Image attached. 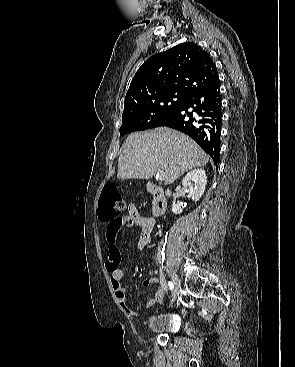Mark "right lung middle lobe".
I'll return each mask as SVG.
<instances>
[{
    "label": "right lung middle lobe",
    "mask_w": 295,
    "mask_h": 367,
    "mask_svg": "<svg viewBox=\"0 0 295 367\" xmlns=\"http://www.w3.org/2000/svg\"><path fill=\"white\" fill-rule=\"evenodd\" d=\"M187 96L162 94L133 102L123 112L120 136L150 128L156 121L179 109Z\"/></svg>",
    "instance_id": "right-lung-middle-lobe-1"
}]
</instances>
